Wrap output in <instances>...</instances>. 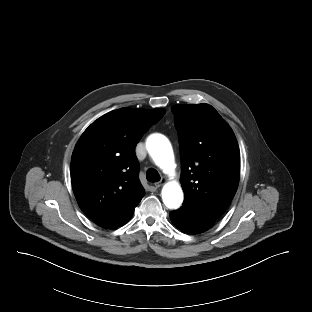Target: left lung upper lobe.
<instances>
[{
    "mask_svg": "<svg viewBox=\"0 0 312 312\" xmlns=\"http://www.w3.org/2000/svg\"><path fill=\"white\" fill-rule=\"evenodd\" d=\"M179 135L182 209L215 221L239 183L240 151L230 126L208 104L171 107Z\"/></svg>",
    "mask_w": 312,
    "mask_h": 312,
    "instance_id": "left-lung-upper-lobe-1",
    "label": "left lung upper lobe"
}]
</instances>
